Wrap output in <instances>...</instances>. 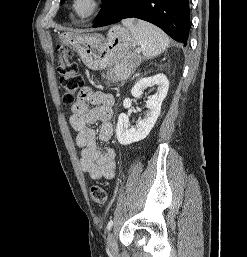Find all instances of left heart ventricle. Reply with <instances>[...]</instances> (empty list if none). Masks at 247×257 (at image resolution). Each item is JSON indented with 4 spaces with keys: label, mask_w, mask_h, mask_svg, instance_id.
Wrapping results in <instances>:
<instances>
[{
    "label": "left heart ventricle",
    "mask_w": 247,
    "mask_h": 257,
    "mask_svg": "<svg viewBox=\"0 0 247 257\" xmlns=\"http://www.w3.org/2000/svg\"><path fill=\"white\" fill-rule=\"evenodd\" d=\"M88 7H89V3H88L87 0H82V1L78 4V6H77V8H78V10H79L80 12H85V11L88 9Z\"/></svg>",
    "instance_id": "b2bd125f"
}]
</instances>
